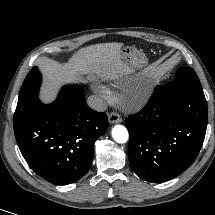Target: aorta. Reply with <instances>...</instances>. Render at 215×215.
Wrapping results in <instances>:
<instances>
[{
    "label": "aorta",
    "mask_w": 215,
    "mask_h": 215,
    "mask_svg": "<svg viewBox=\"0 0 215 215\" xmlns=\"http://www.w3.org/2000/svg\"><path fill=\"white\" fill-rule=\"evenodd\" d=\"M112 137L117 143H125L129 138L127 129L122 125H115L112 129Z\"/></svg>",
    "instance_id": "762f6f07"
}]
</instances>
